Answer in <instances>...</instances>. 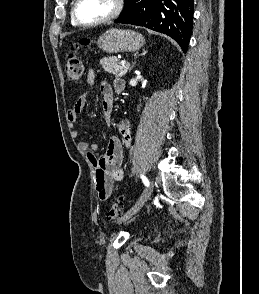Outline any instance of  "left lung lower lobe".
<instances>
[{"label":"left lung lower lobe","instance_id":"obj_1","mask_svg":"<svg viewBox=\"0 0 259 294\" xmlns=\"http://www.w3.org/2000/svg\"><path fill=\"white\" fill-rule=\"evenodd\" d=\"M193 0H134L115 23L144 26L172 37L187 51L193 20Z\"/></svg>","mask_w":259,"mask_h":294}]
</instances>
